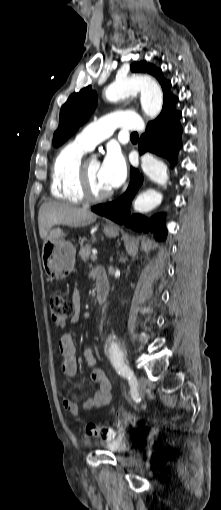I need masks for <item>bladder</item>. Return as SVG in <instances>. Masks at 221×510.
Wrapping results in <instances>:
<instances>
[{
	"label": "bladder",
	"instance_id": "bladder-1",
	"mask_svg": "<svg viewBox=\"0 0 221 510\" xmlns=\"http://www.w3.org/2000/svg\"><path fill=\"white\" fill-rule=\"evenodd\" d=\"M134 446V441L131 437L123 436L118 437L110 441L109 443L105 444V448L116 454H124L131 450V448Z\"/></svg>",
	"mask_w": 221,
	"mask_h": 510
}]
</instances>
